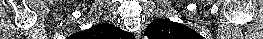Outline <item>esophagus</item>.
Returning a JSON list of instances; mask_svg holds the SVG:
<instances>
[{
	"label": "esophagus",
	"instance_id": "obj_1",
	"mask_svg": "<svg viewBox=\"0 0 263 39\" xmlns=\"http://www.w3.org/2000/svg\"><path fill=\"white\" fill-rule=\"evenodd\" d=\"M135 37H136V39H140V34L136 32Z\"/></svg>",
	"mask_w": 263,
	"mask_h": 39
}]
</instances>
